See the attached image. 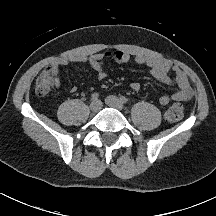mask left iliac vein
Segmentation results:
<instances>
[{
    "instance_id": "4c4485c4",
    "label": "left iliac vein",
    "mask_w": 216,
    "mask_h": 216,
    "mask_svg": "<svg viewBox=\"0 0 216 216\" xmlns=\"http://www.w3.org/2000/svg\"><path fill=\"white\" fill-rule=\"evenodd\" d=\"M105 103L108 106L113 107L115 109H118L120 111H122L123 108H124L121 100L119 98H117L116 96H108V97H106Z\"/></svg>"
}]
</instances>
